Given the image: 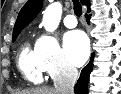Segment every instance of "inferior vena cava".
I'll return each mask as SVG.
<instances>
[{
  "mask_svg": "<svg viewBox=\"0 0 121 94\" xmlns=\"http://www.w3.org/2000/svg\"><path fill=\"white\" fill-rule=\"evenodd\" d=\"M78 79V70L67 64L54 80V86L58 94H74V85Z\"/></svg>",
  "mask_w": 121,
  "mask_h": 94,
  "instance_id": "1",
  "label": "inferior vena cava"
}]
</instances>
